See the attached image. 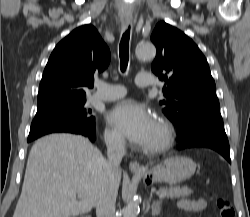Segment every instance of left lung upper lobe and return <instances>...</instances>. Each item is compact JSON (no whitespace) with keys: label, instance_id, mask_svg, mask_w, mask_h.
I'll list each match as a JSON object with an SVG mask.
<instances>
[{"label":"left lung upper lobe","instance_id":"left-lung-upper-lobe-1","mask_svg":"<svg viewBox=\"0 0 250 217\" xmlns=\"http://www.w3.org/2000/svg\"><path fill=\"white\" fill-rule=\"evenodd\" d=\"M157 48L152 71L167 84L160 101L164 114L181 129L190 115L220 109L206 58L182 31L159 22L151 36Z\"/></svg>","mask_w":250,"mask_h":217}]
</instances>
